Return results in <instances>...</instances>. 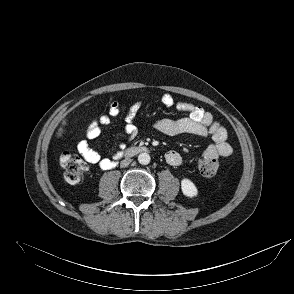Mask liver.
Returning a JSON list of instances; mask_svg holds the SVG:
<instances>
[{
	"label": "liver",
	"mask_w": 294,
	"mask_h": 294,
	"mask_svg": "<svg viewBox=\"0 0 294 294\" xmlns=\"http://www.w3.org/2000/svg\"><path fill=\"white\" fill-rule=\"evenodd\" d=\"M66 124H67L66 121L63 120L62 125H66ZM63 132H64V129L62 127H60L57 132V137L58 138L61 137Z\"/></svg>",
	"instance_id": "1"
}]
</instances>
